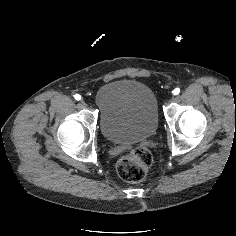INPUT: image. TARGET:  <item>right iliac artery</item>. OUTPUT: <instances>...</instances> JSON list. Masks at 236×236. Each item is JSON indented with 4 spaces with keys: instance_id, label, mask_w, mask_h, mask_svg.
<instances>
[{
    "instance_id": "right-iliac-artery-1",
    "label": "right iliac artery",
    "mask_w": 236,
    "mask_h": 236,
    "mask_svg": "<svg viewBox=\"0 0 236 236\" xmlns=\"http://www.w3.org/2000/svg\"><path fill=\"white\" fill-rule=\"evenodd\" d=\"M74 98L79 101V100H81V95L75 94V95H74Z\"/></svg>"
}]
</instances>
